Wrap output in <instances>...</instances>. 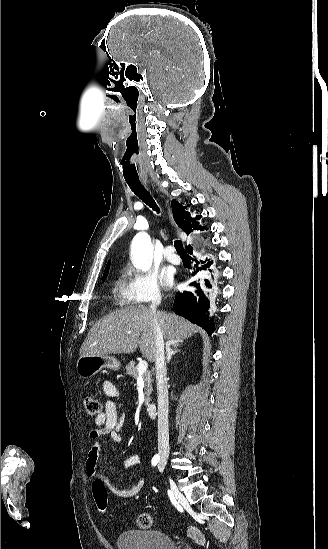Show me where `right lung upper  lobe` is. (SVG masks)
<instances>
[{"instance_id": "1", "label": "right lung upper lobe", "mask_w": 328, "mask_h": 549, "mask_svg": "<svg viewBox=\"0 0 328 549\" xmlns=\"http://www.w3.org/2000/svg\"><path fill=\"white\" fill-rule=\"evenodd\" d=\"M171 206L175 222L187 235H189L193 230H207V228L199 225L198 220L201 218V215H197L195 218H192L186 208L176 200L171 201ZM186 249L190 254H192L193 248L190 244L186 246ZM109 268L110 261H108L104 273L108 272Z\"/></svg>"}]
</instances>
